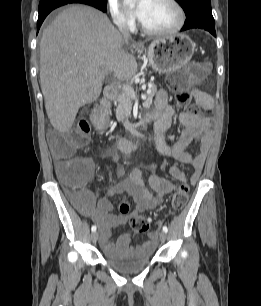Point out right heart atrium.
Wrapping results in <instances>:
<instances>
[{
	"instance_id": "1",
	"label": "right heart atrium",
	"mask_w": 261,
	"mask_h": 306,
	"mask_svg": "<svg viewBox=\"0 0 261 306\" xmlns=\"http://www.w3.org/2000/svg\"><path fill=\"white\" fill-rule=\"evenodd\" d=\"M108 7L115 24L123 29L133 26V19L124 11L118 0H108Z\"/></svg>"
}]
</instances>
